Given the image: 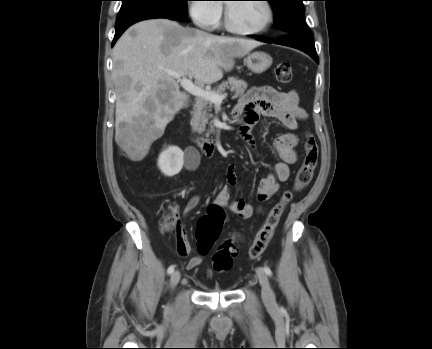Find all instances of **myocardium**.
Listing matches in <instances>:
<instances>
[{"mask_svg": "<svg viewBox=\"0 0 432 349\" xmlns=\"http://www.w3.org/2000/svg\"><path fill=\"white\" fill-rule=\"evenodd\" d=\"M260 2L264 3V5L267 9V14H268L266 22L264 23L263 26H261L258 29H254V30H243V29L237 28L232 23L229 4H225L224 24H225L226 29L228 31H230L231 33H234L237 35H243V36H256V35H261V34L265 33L274 21V9H273V6L269 0H260Z\"/></svg>", "mask_w": 432, "mask_h": 349, "instance_id": "1", "label": "myocardium"}]
</instances>
